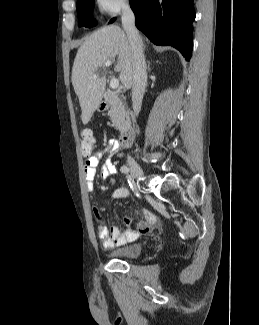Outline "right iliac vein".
Returning a JSON list of instances; mask_svg holds the SVG:
<instances>
[{"label":"right iliac vein","instance_id":"1","mask_svg":"<svg viewBox=\"0 0 259 325\" xmlns=\"http://www.w3.org/2000/svg\"><path fill=\"white\" fill-rule=\"evenodd\" d=\"M128 166L130 167L132 175L137 178L139 181L144 180V174L140 166L132 158H128Z\"/></svg>","mask_w":259,"mask_h":325}]
</instances>
